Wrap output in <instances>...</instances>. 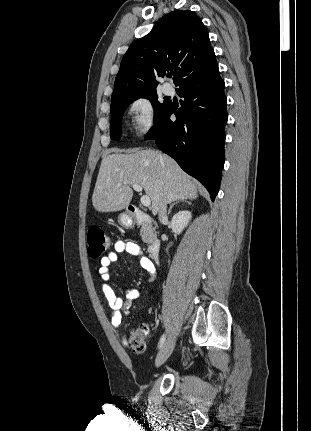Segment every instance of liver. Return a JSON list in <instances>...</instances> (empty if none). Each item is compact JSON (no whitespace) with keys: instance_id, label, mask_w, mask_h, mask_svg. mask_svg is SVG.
Segmentation results:
<instances>
[{"instance_id":"liver-1","label":"liver","mask_w":311,"mask_h":431,"mask_svg":"<svg viewBox=\"0 0 311 431\" xmlns=\"http://www.w3.org/2000/svg\"><path fill=\"white\" fill-rule=\"evenodd\" d=\"M113 152L103 158L98 172L92 196L96 212L125 210L133 198L132 184L141 186L149 196L153 216H157L162 202L171 204L198 198V188L192 178L170 156L154 150Z\"/></svg>"}]
</instances>
